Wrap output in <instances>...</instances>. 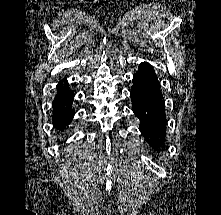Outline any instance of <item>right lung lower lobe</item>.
Instances as JSON below:
<instances>
[{
	"mask_svg": "<svg viewBox=\"0 0 221 215\" xmlns=\"http://www.w3.org/2000/svg\"><path fill=\"white\" fill-rule=\"evenodd\" d=\"M63 83H65L63 85ZM58 95L54 99L53 111L55 125L60 129L66 127L69 124L70 119L73 117L71 110L72 94L68 91L67 80H62L57 85Z\"/></svg>",
	"mask_w": 221,
	"mask_h": 215,
	"instance_id": "1",
	"label": "right lung lower lobe"
}]
</instances>
